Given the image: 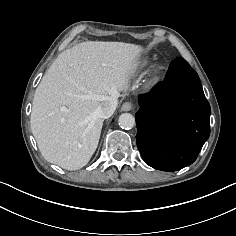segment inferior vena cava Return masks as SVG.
<instances>
[{
    "label": "inferior vena cava",
    "instance_id": "602c4592",
    "mask_svg": "<svg viewBox=\"0 0 236 236\" xmlns=\"http://www.w3.org/2000/svg\"><path fill=\"white\" fill-rule=\"evenodd\" d=\"M118 105L117 97H109L105 102L101 104L98 109V115L102 119L111 117Z\"/></svg>",
    "mask_w": 236,
    "mask_h": 236
}]
</instances>
